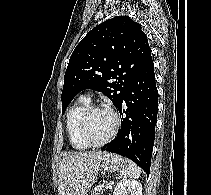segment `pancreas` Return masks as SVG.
<instances>
[{
  "label": "pancreas",
  "mask_w": 211,
  "mask_h": 195,
  "mask_svg": "<svg viewBox=\"0 0 211 195\" xmlns=\"http://www.w3.org/2000/svg\"><path fill=\"white\" fill-rule=\"evenodd\" d=\"M107 184L99 185L93 192L92 195H102L105 190H107Z\"/></svg>",
  "instance_id": "cf45deb5"
}]
</instances>
